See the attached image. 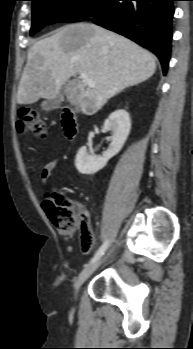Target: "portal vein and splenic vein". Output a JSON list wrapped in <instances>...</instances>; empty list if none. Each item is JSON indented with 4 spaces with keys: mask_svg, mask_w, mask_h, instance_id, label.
Listing matches in <instances>:
<instances>
[{
    "mask_svg": "<svg viewBox=\"0 0 193 349\" xmlns=\"http://www.w3.org/2000/svg\"><path fill=\"white\" fill-rule=\"evenodd\" d=\"M80 78L82 79L83 83L90 87V88H93L95 87V82L89 78V76L85 73H80Z\"/></svg>",
    "mask_w": 193,
    "mask_h": 349,
    "instance_id": "portal-vein-and-splenic-vein-1",
    "label": "portal vein and splenic vein"
}]
</instances>
